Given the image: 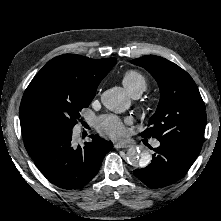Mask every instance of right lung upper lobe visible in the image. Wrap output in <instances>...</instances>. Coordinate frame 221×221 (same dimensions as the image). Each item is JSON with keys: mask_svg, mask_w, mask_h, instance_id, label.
<instances>
[{"mask_svg": "<svg viewBox=\"0 0 221 221\" xmlns=\"http://www.w3.org/2000/svg\"><path fill=\"white\" fill-rule=\"evenodd\" d=\"M115 58L91 59L80 55L64 54L50 60L31 82L44 79L49 83L71 92L95 94L96 89L112 67ZM22 135L38 129L51 127L46 122L29 118L19 111Z\"/></svg>", "mask_w": 221, "mask_h": 221, "instance_id": "right-lung-upper-lobe-1", "label": "right lung upper lobe"}]
</instances>
